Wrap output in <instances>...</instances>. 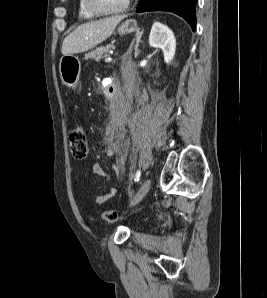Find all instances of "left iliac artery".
Here are the masks:
<instances>
[{
	"label": "left iliac artery",
	"instance_id": "1",
	"mask_svg": "<svg viewBox=\"0 0 267 298\" xmlns=\"http://www.w3.org/2000/svg\"><path fill=\"white\" fill-rule=\"evenodd\" d=\"M140 176H141V170L139 169V170H137V172L135 173L134 181H135V182H138Z\"/></svg>",
	"mask_w": 267,
	"mask_h": 298
}]
</instances>
